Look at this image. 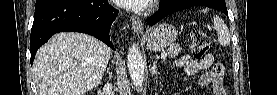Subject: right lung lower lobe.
Masks as SVG:
<instances>
[{
	"label": "right lung lower lobe",
	"mask_w": 277,
	"mask_h": 95,
	"mask_svg": "<svg viewBox=\"0 0 277 95\" xmlns=\"http://www.w3.org/2000/svg\"><path fill=\"white\" fill-rule=\"evenodd\" d=\"M117 14L108 0H37L30 38L31 63L38 48L58 32L86 33L114 49L109 32Z\"/></svg>",
	"instance_id": "1"
}]
</instances>
